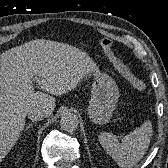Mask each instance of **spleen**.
I'll list each match as a JSON object with an SVG mask.
<instances>
[{
    "label": "spleen",
    "mask_w": 168,
    "mask_h": 168,
    "mask_svg": "<svg viewBox=\"0 0 168 168\" xmlns=\"http://www.w3.org/2000/svg\"><path fill=\"white\" fill-rule=\"evenodd\" d=\"M152 132V123L146 120L139 128L127 134L121 143L115 135L106 132L99 135V142L120 167L132 168L146 153Z\"/></svg>",
    "instance_id": "obj_1"
}]
</instances>
